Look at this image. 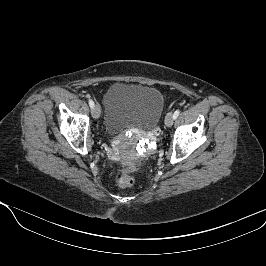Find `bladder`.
I'll return each instance as SVG.
<instances>
[{
	"mask_svg": "<svg viewBox=\"0 0 266 266\" xmlns=\"http://www.w3.org/2000/svg\"><path fill=\"white\" fill-rule=\"evenodd\" d=\"M104 107L105 129L116 136L129 128L154 129L162 116L164 99L152 87L115 83L106 91Z\"/></svg>",
	"mask_w": 266,
	"mask_h": 266,
	"instance_id": "obj_1",
	"label": "bladder"
}]
</instances>
